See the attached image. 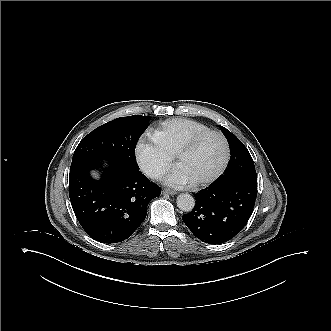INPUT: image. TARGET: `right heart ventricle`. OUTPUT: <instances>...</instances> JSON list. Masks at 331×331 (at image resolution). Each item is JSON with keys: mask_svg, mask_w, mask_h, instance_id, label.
Instances as JSON below:
<instances>
[{"mask_svg": "<svg viewBox=\"0 0 331 331\" xmlns=\"http://www.w3.org/2000/svg\"><path fill=\"white\" fill-rule=\"evenodd\" d=\"M208 130V126L198 120L176 117L161 123L153 139L161 151L174 155L188 140Z\"/></svg>", "mask_w": 331, "mask_h": 331, "instance_id": "right-heart-ventricle-1", "label": "right heart ventricle"}]
</instances>
